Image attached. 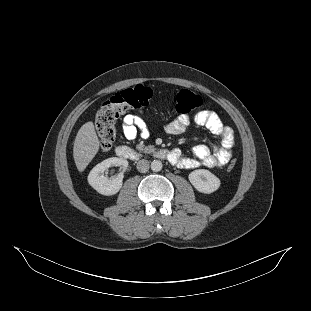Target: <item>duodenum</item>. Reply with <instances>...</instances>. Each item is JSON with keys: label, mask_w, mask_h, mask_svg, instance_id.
<instances>
[{"label": "duodenum", "mask_w": 311, "mask_h": 311, "mask_svg": "<svg viewBox=\"0 0 311 311\" xmlns=\"http://www.w3.org/2000/svg\"><path fill=\"white\" fill-rule=\"evenodd\" d=\"M115 153L118 157L136 161L140 158V153L132 148H129L127 146H118L115 149ZM153 155L159 159L167 160L172 162L174 160V153L167 149H158L153 151Z\"/></svg>", "instance_id": "1"}]
</instances>
